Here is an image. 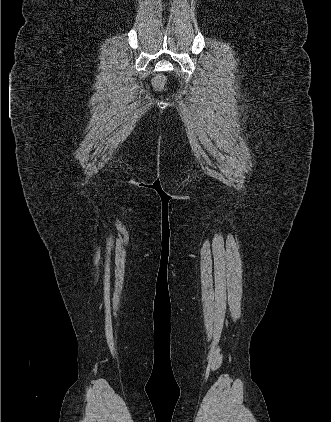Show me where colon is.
<instances>
[{"label":"colon","mask_w":331,"mask_h":422,"mask_svg":"<svg viewBox=\"0 0 331 422\" xmlns=\"http://www.w3.org/2000/svg\"><path fill=\"white\" fill-rule=\"evenodd\" d=\"M153 85L155 88L161 89L164 85V77L161 75L156 76L153 80Z\"/></svg>","instance_id":"colon-1"}]
</instances>
